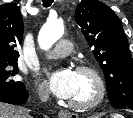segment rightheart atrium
Listing matches in <instances>:
<instances>
[{
	"label": "right heart atrium",
	"instance_id": "1",
	"mask_svg": "<svg viewBox=\"0 0 133 118\" xmlns=\"http://www.w3.org/2000/svg\"><path fill=\"white\" fill-rule=\"evenodd\" d=\"M37 93L41 98L47 97V91H46L44 85H42V84L37 85Z\"/></svg>",
	"mask_w": 133,
	"mask_h": 118
}]
</instances>
